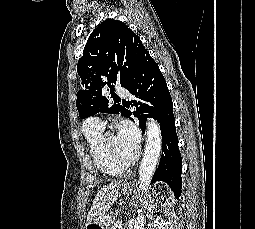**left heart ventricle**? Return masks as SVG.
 <instances>
[{
    "label": "left heart ventricle",
    "mask_w": 255,
    "mask_h": 229,
    "mask_svg": "<svg viewBox=\"0 0 255 229\" xmlns=\"http://www.w3.org/2000/svg\"><path fill=\"white\" fill-rule=\"evenodd\" d=\"M107 146L109 151L119 160H130L135 154L124 147L117 136L111 135L107 137Z\"/></svg>",
    "instance_id": "obj_1"
}]
</instances>
